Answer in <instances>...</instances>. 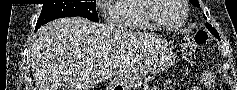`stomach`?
Returning <instances> with one entry per match:
<instances>
[{"label": "stomach", "mask_w": 237, "mask_h": 90, "mask_svg": "<svg viewBox=\"0 0 237 90\" xmlns=\"http://www.w3.org/2000/svg\"><path fill=\"white\" fill-rule=\"evenodd\" d=\"M173 61L174 57L169 53L147 59L117 75L108 90H132L140 80L163 72Z\"/></svg>", "instance_id": "obj_1"}]
</instances>
